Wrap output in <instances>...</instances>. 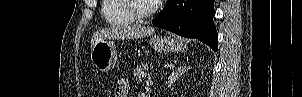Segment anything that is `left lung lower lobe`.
I'll use <instances>...</instances> for the list:
<instances>
[{"label":"left lung lower lobe","mask_w":302,"mask_h":97,"mask_svg":"<svg viewBox=\"0 0 302 97\" xmlns=\"http://www.w3.org/2000/svg\"><path fill=\"white\" fill-rule=\"evenodd\" d=\"M214 15V0H167L152 23L180 36L197 38L217 51Z\"/></svg>","instance_id":"0a47b994"}]
</instances>
